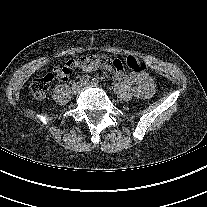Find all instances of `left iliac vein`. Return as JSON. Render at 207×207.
<instances>
[{"mask_svg":"<svg viewBox=\"0 0 207 207\" xmlns=\"http://www.w3.org/2000/svg\"><path fill=\"white\" fill-rule=\"evenodd\" d=\"M92 85H93V84H92ZM83 86H84V87H87L88 85H87V84H84Z\"/></svg>","mask_w":207,"mask_h":207,"instance_id":"4c4485c4","label":"left iliac vein"}]
</instances>
